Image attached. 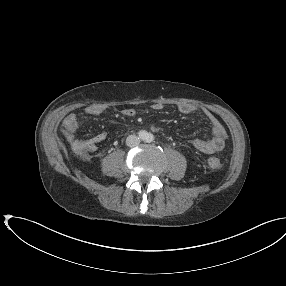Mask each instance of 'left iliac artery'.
<instances>
[{"label": "left iliac artery", "instance_id": "44dca946", "mask_svg": "<svg viewBox=\"0 0 286 286\" xmlns=\"http://www.w3.org/2000/svg\"><path fill=\"white\" fill-rule=\"evenodd\" d=\"M153 140H154V136H153L151 133L147 134L146 141H147L148 143H150V142H152Z\"/></svg>", "mask_w": 286, "mask_h": 286}]
</instances>
